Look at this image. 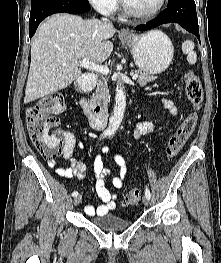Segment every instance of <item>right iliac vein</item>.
I'll use <instances>...</instances> for the list:
<instances>
[{"label": "right iliac vein", "instance_id": "1", "mask_svg": "<svg viewBox=\"0 0 221 263\" xmlns=\"http://www.w3.org/2000/svg\"><path fill=\"white\" fill-rule=\"evenodd\" d=\"M81 201H82V196L79 195V196H76V197L74 198L73 203H74V205L76 206V205H79V204L81 203Z\"/></svg>", "mask_w": 221, "mask_h": 263}]
</instances>
